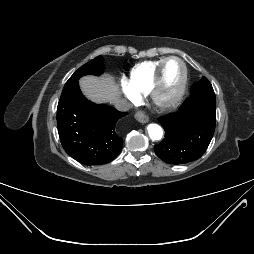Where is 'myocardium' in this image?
I'll list each match as a JSON object with an SVG mask.
<instances>
[{"instance_id": "myocardium-1", "label": "myocardium", "mask_w": 254, "mask_h": 254, "mask_svg": "<svg viewBox=\"0 0 254 254\" xmlns=\"http://www.w3.org/2000/svg\"><path fill=\"white\" fill-rule=\"evenodd\" d=\"M172 60L178 61L181 64L182 78L175 94L169 99L164 100L160 98V91H161L162 80H163V71L166 64ZM187 82H188V69H187L186 63L180 57H177V56H169L164 58V60L160 63V65L158 66L155 72L153 82L148 91V95L152 104L161 111H169L176 108L181 103V101L183 100L185 96L186 89H187Z\"/></svg>"}]
</instances>
